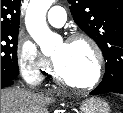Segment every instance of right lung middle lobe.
<instances>
[{"mask_svg":"<svg viewBox=\"0 0 123 113\" xmlns=\"http://www.w3.org/2000/svg\"><path fill=\"white\" fill-rule=\"evenodd\" d=\"M17 43L18 29L1 30V79L14 80L19 74Z\"/></svg>","mask_w":123,"mask_h":113,"instance_id":"obj_1","label":"right lung middle lobe"}]
</instances>
